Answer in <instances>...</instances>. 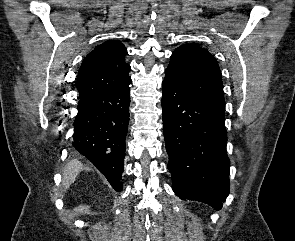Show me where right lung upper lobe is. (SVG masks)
Wrapping results in <instances>:
<instances>
[{"label": "right lung upper lobe", "instance_id": "1", "mask_svg": "<svg viewBox=\"0 0 295 241\" xmlns=\"http://www.w3.org/2000/svg\"><path fill=\"white\" fill-rule=\"evenodd\" d=\"M126 55L125 46L117 41L106 42L91 51L78 71L80 98L115 89L130 81V65L125 62Z\"/></svg>", "mask_w": 295, "mask_h": 241}]
</instances>
